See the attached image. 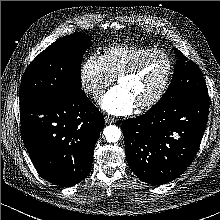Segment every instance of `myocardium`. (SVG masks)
Listing matches in <instances>:
<instances>
[{"instance_id": "f54148a6", "label": "myocardium", "mask_w": 220, "mask_h": 220, "mask_svg": "<svg viewBox=\"0 0 220 220\" xmlns=\"http://www.w3.org/2000/svg\"><path fill=\"white\" fill-rule=\"evenodd\" d=\"M155 55L163 56L166 59L167 64H168L167 74H166V77H165L161 87L156 92V94L152 98H150L149 100L137 105V108L140 111H145V110H149V109L153 108L163 99L164 95L166 94V92L170 86V83L172 81L173 74H174V62H173L172 57L167 52H165L163 50H159V49L151 50V51L141 55L139 58H137L128 68H126L124 71H122L116 77V82L118 83L123 78H129V77L135 76L139 72V70L141 69L144 62L148 58L155 56Z\"/></svg>"}]
</instances>
